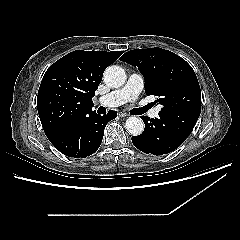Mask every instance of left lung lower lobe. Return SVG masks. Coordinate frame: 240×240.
Returning <instances> with one entry per match:
<instances>
[{"label": "left lung lower lobe", "mask_w": 240, "mask_h": 240, "mask_svg": "<svg viewBox=\"0 0 240 240\" xmlns=\"http://www.w3.org/2000/svg\"><path fill=\"white\" fill-rule=\"evenodd\" d=\"M158 115L151 119L143 117V133L132 137L135 147L146 154L163 155L178 148L192 132L200 112L186 110Z\"/></svg>", "instance_id": "0a47b994"}]
</instances>
